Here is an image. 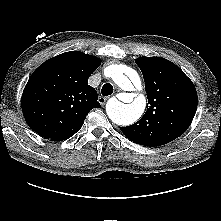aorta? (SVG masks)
Listing matches in <instances>:
<instances>
[{
  "instance_id": "762f6f07",
  "label": "aorta",
  "mask_w": 221,
  "mask_h": 221,
  "mask_svg": "<svg viewBox=\"0 0 221 221\" xmlns=\"http://www.w3.org/2000/svg\"><path fill=\"white\" fill-rule=\"evenodd\" d=\"M108 68L110 77L120 89L132 91L134 86L140 84L139 75L135 70L121 64H112ZM127 103L124 104L115 98L108 101L106 112L114 123L123 126L132 124L141 117L146 107L143 95L133 98L132 94H128Z\"/></svg>"
}]
</instances>
